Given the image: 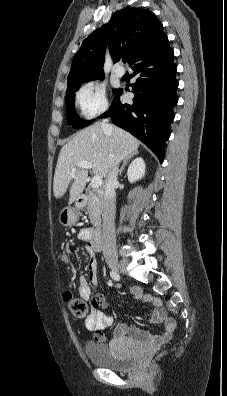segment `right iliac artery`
<instances>
[{
    "mask_svg": "<svg viewBox=\"0 0 227 396\" xmlns=\"http://www.w3.org/2000/svg\"><path fill=\"white\" fill-rule=\"evenodd\" d=\"M110 276H111L112 279H114V280H116V281H119V280H120L119 274L116 273V272H114V271H111V272H110Z\"/></svg>",
    "mask_w": 227,
    "mask_h": 396,
    "instance_id": "obj_1",
    "label": "right iliac artery"
}]
</instances>
